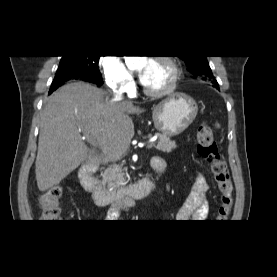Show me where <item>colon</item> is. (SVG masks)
<instances>
[{
	"label": "colon",
	"instance_id": "1",
	"mask_svg": "<svg viewBox=\"0 0 277 277\" xmlns=\"http://www.w3.org/2000/svg\"><path fill=\"white\" fill-rule=\"evenodd\" d=\"M197 152L210 165L211 173L220 194L219 217H229L233 205V182L226 162L222 159L211 127L202 123L196 133ZM62 189L53 186L39 198L43 222H58L61 214L60 197Z\"/></svg>",
	"mask_w": 277,
	"mask_h": 277
}]
</instances>
